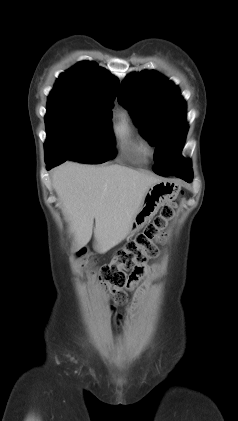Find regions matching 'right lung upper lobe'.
<instances>
[{
	"label": "right lung upper lobe",
	"instance_id": "1",
	"mask_svg": "<svg viewBox=\"0 0 238 421\" xmlns=\"http://www.w3.org/2000/svg\"><path fill=\"white\" fill-rule=\"evenodd\" d=\"M119 81L95 62L83 61L62 73L50 95L112 104Z\"/></svg>",
	"mask_w": 238,
	"mask_h": 421
}]
</instances>
